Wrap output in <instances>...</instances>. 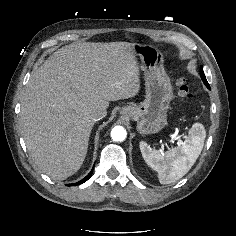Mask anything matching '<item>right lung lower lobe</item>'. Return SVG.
Listing matches in <instances>:
<instances>
[{
	"label": "right lung lower lobe",
	"instance_id": "1",
	"mask_svg": "<svg viewBox=\"0 0 236 236\" xmlns=\"http://www.w3.org/2000/svg\"><path fill=\"white\" fill-rule=\"evenodd\" d=\"M92 172H93V169L91 170V172L84 178L82 179L81 181L75 183V184H68L69 186H74V185H78V184H81V183H84L85 181H87L91 175H92Z\"/></svg>",
	"mask_w": 236,
	"mask_h": 236
}]
</instances>
